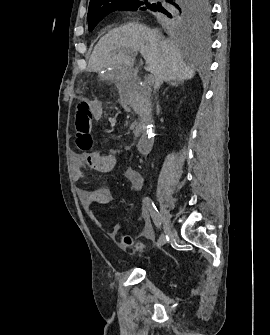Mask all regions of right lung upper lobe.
Returning <instances> with one entry per match:
<instances>
[{"mask_svg":"<svg viewBox=\"0 0 270 335\" xmlns=\"http://www.w3.org/2000/svg\"><path fill=\"white\" fill-rule=\"evenodd\" d=\"M117 0H90V4L89 7H97V6H101L104 4H108L111 2H115Z\"/></svg>","mask_w":270,"mask_h":335,"instance_id":"right-lung-upper-lobe-1","label":"right lung upper lobe"}]
</instances>
